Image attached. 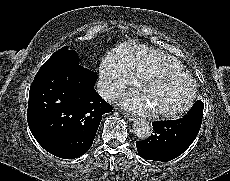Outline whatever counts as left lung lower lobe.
<instances>
[{
    "label": "left lung lower lobe",
    "mask_w": 230,
    "mask_h": 181,
    "mask_svg": "<svg viewBox=\"0 0 230 181\" xmlns=\"http://www.w3.org/2000/svg\"><path fill=\"white\" fill-rule=\"evenodd\" d=\"M204 104L198 100L189 113L174 121L153 122L154 134L136 141L139 155L147 160L167 162L181 155L195 140L203 117Z\"/></svg>",
    "instance_id": "obj_1"
}]
</instances>
